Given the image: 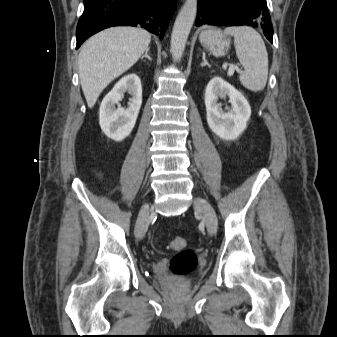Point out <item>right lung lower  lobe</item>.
I'll use <instances>...</instances> for the list:
<instances>
[{
  "label": "right lung lower lobe",
  "instance_id": "98d812e1",
  "mask_svg": "<svg viewBox=\"0 0 337 337\" xmlns=\"http://www.w3.org/2000/svg\"><path fill=\"white\" fill-rule=\"evenodd\" d=\"M175 8L176 0H84L76 48L91 35L112 26H139L162 39Z\"/></svg>",
  "mask_w": 337,
  "mask_h": 337
}]
</instances>
